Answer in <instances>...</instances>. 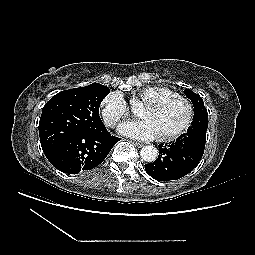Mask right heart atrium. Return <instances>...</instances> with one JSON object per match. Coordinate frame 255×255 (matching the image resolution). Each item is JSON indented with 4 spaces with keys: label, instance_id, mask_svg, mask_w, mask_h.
Listing matches in <instances>:
<instances>
[{
    "label": "right heart atrium",
    "instance_id": "d8ad5b80",
    "mask_svg": "<svg viewBox=\"0 0 255 255\" xmlns=\"http://www.w3.org/2000/svg\"><path fill=\"white\" fill-rule=\"evenodd\" d=\"M128 113V105L118 92L109 93L101 102V116L109 127H114L119 121L126 118Z\"/></svg>",
    "mask_w": 255,
    "mask_h": 255
}]
</instances>
